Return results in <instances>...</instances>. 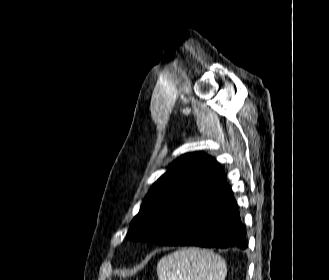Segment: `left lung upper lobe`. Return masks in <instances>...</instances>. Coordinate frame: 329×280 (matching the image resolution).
Returning a JSON list of instances; mask_svg holds the SVG:
<instances>
[{
	"instance_id": "obj_1",
	"label": "left lung upper lobe",
	"mask_w": 329,
	"mask_h": 280,
	"mask_svg": "<svg viewBox=\"0 0 329 280\" xmlns=\"http://www.w3.org/2000/svg\"><path fill=\"white\" fill-rule=\"evenodd\" d=\"M224 181V171L212 157L201 152L181 156L152 185L130 224L127 238L167 245L170 240L160 231L172 225L188 202Z\"/></svg>"
}]
</instances>
